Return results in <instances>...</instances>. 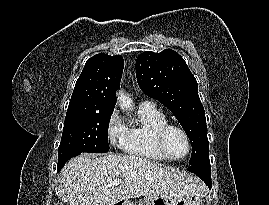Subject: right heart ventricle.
Segmentation results:
<instances>
[{
    "label": "right heart ventricle",
    "instance_id": "obj_1",
    "mask_svg": "<svg viewBox=\"0 0 269 205\" xmlns=\"http://www.w3.org/2000/svg\"><path fill=\"white\" fill-rule=\"evenodd\" d=\"M138 116V124L127 129V139L122 147L124 152L143 160L168 161L158 152L154 143L157 128L168 122L166 115L155 106L141 105Z\"/></svg>",
    "mask_w": 269,
    "mask_h": 205
}]
</instances>
